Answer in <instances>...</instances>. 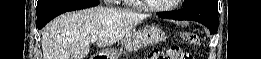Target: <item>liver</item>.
Listing matches in <instances>:
<instances>
[{"label": "liver", "instance_id": "6515ba94", "mask_svg": "<svg viewBox=\"0 0 261 59\" xmlns=\"http://www.w3.org/2000/svg\"><path fill=\"white\" fill-rule=\"evenodd\" d=\"M146 17L144 14L102 6L62 14L43 29L44 59H85L92 36L98 37V47L111 46Z\"/></svg>", "mask_w": 261, "mask_h": 59}]
</instances>
